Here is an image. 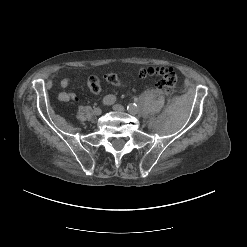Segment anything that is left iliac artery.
<instances>
[{"mask_svg": "<svg viewBox=\"0 0 247 247\" xmlns=\"http://www.w3.org/2000/svg\"><path fill=\"white\" fill-rule=\"evenodd\" d=\"M138 104H129L127 106V110L130 112L132 116H137L139 114V109L137 108Z\"/></svg>", "mask_w": 247, "mask_h": 247, "instance_id": "1", "label": "left iliac artery"}]
</instances>
